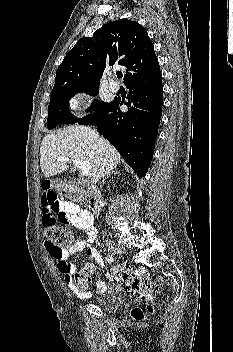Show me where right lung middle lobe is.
<instances>
[{
    "instance_id": "obj_1",
    "label": "right lung middle lobe",
    "mask_w": 233,
    "mask_h": 352,
    "mask_svg": "<svg viewBox=\"0 0 233 352\" xmlns=\"http://www.w3.org/2000/svg\"><path fill=\"white\" fill-rule=\"evenodd\" d=\"M98 87L99 85H64L60 87H54L51 92L50 103L48 106V129H52L59 123L72 124L91 116L92 112H90V115H87L83 118L75 117L69 111V99L73 97L74 94L82 92L96 96L98 94ZM107 104L108 103L100 102L99 100L95 99L91 104V109H95V112Z\"/></svg>"
}]
</instances>
